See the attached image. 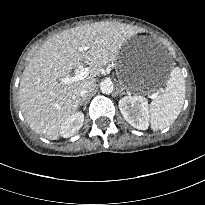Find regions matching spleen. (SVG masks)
I'll use <instances>...</instances> for the list:
<instances>
[{"label": "spleen", "mask_w": 205, "mask_h": 205, "mask_svg": "<svg viewBox=\"0 0 205 205\" xmlns=\"http://www.w3.org/2000/svg\"><path fill=\"white\" fill-rule=\"evenodd\" d=\"M186 87L181 69L170 72L165 90L156 96L149 106L150 123L153 131L169 127L179 116L185 99Z\"/></svg>", "instance_id": "1"}]
</instances>
